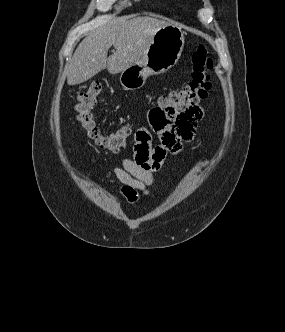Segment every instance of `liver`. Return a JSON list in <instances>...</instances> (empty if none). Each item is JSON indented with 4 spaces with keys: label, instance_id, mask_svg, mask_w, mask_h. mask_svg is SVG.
<instances>
[{
    "label": "liver",
    "instance_id": "1",
    "mask_svg": "<svg viewBox=\"0 0 285 332\" xmlns=\"http://www.w3.org/2000/svg\"><path fill=\"white\" fill-rule=\"evenodd\" d=\"M170 23L153 17L121 18L87 34L75 50L67 67L68 85L83 83L107 68L117 74L138 63L154 37ZM114 46L116 52L107 57Z\"/></svg>",
    "mask_w": 285,
    "mask_h": 332
}]
</instances>
